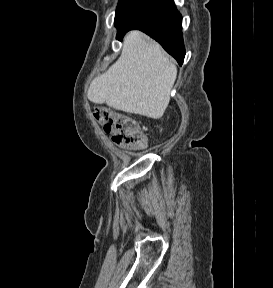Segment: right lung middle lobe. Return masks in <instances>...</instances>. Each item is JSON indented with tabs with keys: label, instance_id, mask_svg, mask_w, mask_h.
Segmentation results:
<instances>
[{
	"label": "right lung middle lobe",
	"instance_id": "1",
	"mask_svg": "<svg viewBox=\"0 0 273 288\" xmlns=\"http://www.w3.org/2000/svg\"><path fill=\"white\" fill-rule=\"evenodd\" d=\"M137 1L138 0H119L114 20L115 26L121 22Z\"/></svg>",
	"mask_w": 273,
	"mask_h": 288
}]
</instances>
